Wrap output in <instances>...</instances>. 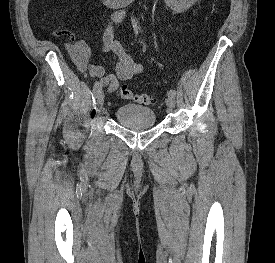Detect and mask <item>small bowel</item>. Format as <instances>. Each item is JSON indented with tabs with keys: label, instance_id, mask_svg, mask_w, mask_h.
Returning a JSON list of instances; mask_svg holds the SVG:
<instances>
[{
	"label": "small bowel",
	"instance_id": "c3829d8e",
	"mask_svg": "<svg viewBox=\"0 0 275 263\" xmlns=\"http://www.w3.org/2000/svg\"><path fill=\"white\" fill-rule=\"evenodd\" d=\"M124 18L125 12L113 15L102 35L103 51L115 62V72L112 74H107L103 66L91 62V49L85 41L72 38L65 44V49L78 71L97 79L98 86L106 88L110 94L117 90L121 81H130L145 69L143 64L135 62L126 55L115 39V26Z\"/></svg>",
	"mask_w": 275,
	"mask_h": 263
}]
</instances>
